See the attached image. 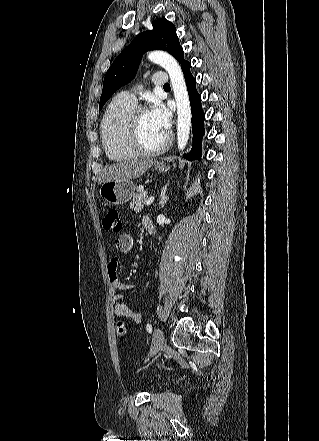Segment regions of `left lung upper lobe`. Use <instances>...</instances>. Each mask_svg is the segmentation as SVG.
<instances>
[{
    "label": "left lung upper lobe",
    "instance_id": "left-lung-upper-lobe-1",
    "mask_svg": "<svg viewBox=\"0 0 319 441\" xmlns=\"http://www.w3.org/2000/svg\"><path fill=\"white\" fill-rule=\"evenodd\" d=\"M152 25L153 30L138 34L130 45L118 55L108 69L104 78L99 110H101L114 92L135 77L145 52L154 49L164 50L174 56L181 66L186 62L175 26L165 18L153 21Z\"/></svg>",
    "mask_w": 319,
    "mask_h": 441
}]
</instances>
